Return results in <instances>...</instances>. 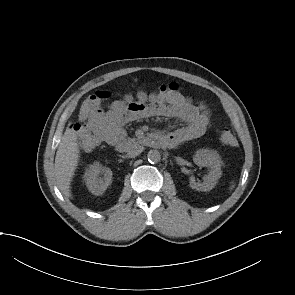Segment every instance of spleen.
<instances>
[{
  "instance_id": "3e777b00",
  "label": "spleen",
  "mask_w": 295,
  "mask_h": 295,
  "mask_svg": "<svg viewBox=\"0 0 295 295\" xmlns=\"http://www.w3.org/2000/svg\"><path fill=\"white\" fill-rule=\"evenodd\" d=\"M234 187V182H232L231 189Z\"/></svg>"
}]
</instances>
